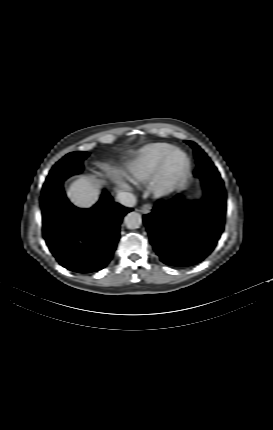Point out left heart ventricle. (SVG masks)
I'll return each mask as SVG.
<instances>
[{
  "label": "left heart ventricle",
  "instance_id": "left-heart-ventricle-1",
  "mask_svg": "<svg viewBox=\"0 0 273 430\" xmlns=\"http://www.w3.org/2000/svg\"><path fill=\"white\" fill-rule=\"evenodd\" d=\"M184 166V160L176 155L172 158L170 162V169L173 173H178Z\"/></svg>",
  "mask_w": 273,
  "mask_h": 430
}]
</instances>
